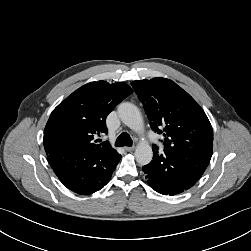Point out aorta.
<instances>
[{
  "label": "aorta",
  "instance_id": "obj_1",
  "mask_svg": "<svg viewBox=\"0 0 251 251\" xmlns=\"http://www.w3.org/2000/svg\"><path fill=\"white\" fill-rule=\"evenodd\" d=\"M118 115L121 121L134 131H141L144 128L143 118L139 109L132 103L123 102L118 106ZM153 151L146 142H140L135 150L136 161L140 165H147L151 162Z\"/></svg>",
  "mask_w": 251,
  "mask_h": 251
}]
</instances>
